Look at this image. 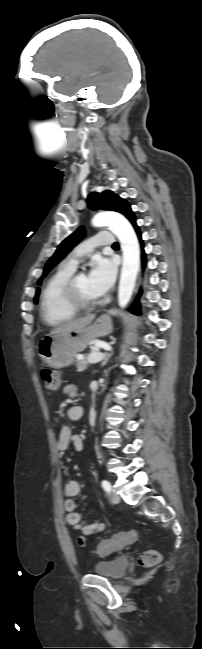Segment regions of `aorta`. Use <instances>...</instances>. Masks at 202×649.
<instances>
[{"mask_svg":"<svg viewBox=\"0 0 202 649\" xmlns=\"http://www.w3.org/2000/svg\"><path fill=\"white\" fill-rule=\"evenodd\" d=\"M92 225L107 226L121 243L123 264L118 288V304L124 308L131 299L139 269L140 249L136 233L123 215L113 211L96 214L92 219Z\"/></svg>","mask_w":202,"mask_h":649,"instance_id":"aorta-1","label":"aorta"}]
</instances>
